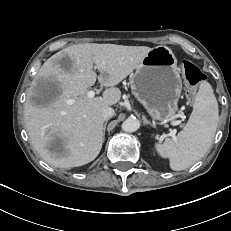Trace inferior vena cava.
<instances>
[{"label":"inferior vena cava","instance_id":"obj_1","mask_svg":"<svg viewBox=\"0 0 231 231\" xmlns=\"http://www.w3.org/2000/svg\"><path fill=\"white\" fill-rule=\"evenodd\" d=\"M114 114H115L114 109L109 106H106L102 109L101 116H102V119L106 121L112 118Z\"/></svg>","mask_w":231,"mask_h":231}]
</instances>
